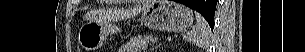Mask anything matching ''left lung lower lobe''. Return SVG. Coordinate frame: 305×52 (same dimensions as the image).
Listing matches in <instances>:
<instances>
[{
  "mask_svg": "<svg viewBox=\"0 0 305 52\" xmlns=\"http://www.w3.org/2000/svg\"><path fill=\"white\" fill-rule=\"evenodd\" d=\"M175 1L193 8L194 10L202 14V16L204 13L207 12H211V13L215 12L217 5V0H175ZM210 27L213 30L214 25H210Z\"/></svg>",
  "mask_w": 305,
  "mask_h": 52,
  "instance_id": "left-lung-lower-lobe-1",
  "label": "left lung lower lobe"
}]
</instances>
